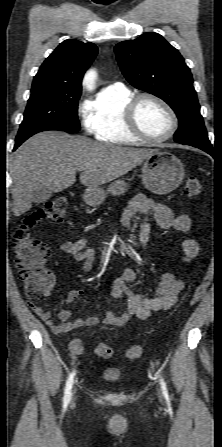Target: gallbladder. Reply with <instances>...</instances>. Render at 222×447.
Here are the masks:
<instances>
[{"instance_id":"gallbladder-1","label":"gallbladder","mask_w":222,"mask_h":447,"mask_svg":"<svg viewBox=\"0 0 222 447\" xmlns=\"http://www.w3.org/2000/svg\"><path fill=\"white\" fill-rule=\"evenodd\" d=\"M51 196L52 192L50 190H48L45 187H39L34 192L33 202L37 204L43 203L47 201L49 198H51Z\"/></svg>"}]
</instances>
